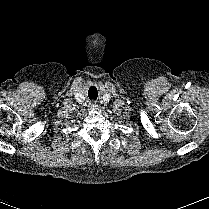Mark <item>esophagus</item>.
I'll list each match as a JSON object with an SVG mask.
<instances>
[{"label":"esophagus","instance_id":"34e87169","mask_svg":"<svg viewBox=\"0 0 209 209\" xmlns=\"http://www.w3.org/2000/svg\"><path fill=\"white\" fill-rule=\"evenodd\" d=\"M89 105H90L91 109H97L98 108V104L94 101L90 102Z\"/></svg>","mask_w":209,"mask_h":209}]
</instances>
